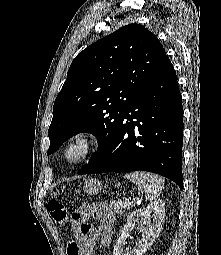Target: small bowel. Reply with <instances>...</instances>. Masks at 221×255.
<instances>
[{"mask_svg": "<svg viewBox=\"0 0 221 255\" xmlns=\"http://www.w3.org/2000/svg\"><path fill=\"white\" fill-rule=\"evenodd\" d=\"M91 216L99 221L98 225L86 224L84 230L75 229V238L67 247L68 255H92L98 242L104 247L111 244L114 214L104 203L92 204Z\"/></svg>", "mask_w": 221, "mask_h": 255, "instance_id": "small-bowel-1", "label": "small bowel"}]
</instances>
